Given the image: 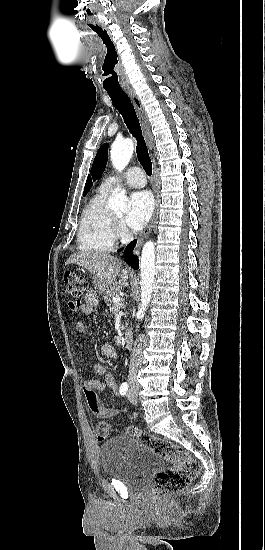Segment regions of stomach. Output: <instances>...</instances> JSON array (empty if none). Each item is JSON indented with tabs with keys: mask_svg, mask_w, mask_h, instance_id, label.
Here are the masks:
<instances>
[{
	"mask_svg": "<svg viewBox=\"0 0 265 550\" xmlns=\"http://www.w3.org/2000/svg\"><path fill=\"white\" fill-rule=\"evenodd\" d=\"M98 289H99V291L104 292V291H106L107 289H109V287H105V288H100V287H98Z\"/></svg>",
	"mask_w": 265,
	"mask_h": 550,
	"instance_id": "stomach-1",
	"label": "stomach"
}]
</instances>
